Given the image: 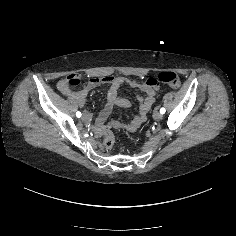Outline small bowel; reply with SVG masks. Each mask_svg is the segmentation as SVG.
Listing matches in <instances>:
<instances>
[{"label":"small bowel","mask_w":236,"mask_h":236,"mask_svg":"<svg viewBox=\"0 0 236 236\" xmlns=\"http://www.w3.org/2000/svg\"><path fill=\"white\" fill-rule=\"evenodd\" d=\"M103 80H106V79H92V80H90V82H89V84H88V86H87V88H86L85 90L78 91V92L72 91V90L67 86L65 80H61V81L58 83V88H59V90H60L63 94H65V95H68V96H80V97H82V98L84 99L85 96L87 95V92H88L91 88H93V87L99 85L101 82H103ZM125 101H126V100H125ZM152 103H153V95L151 96V98L149 99V101L147 102V104H146L144 107L141 108V114H142V115H144V114L149 110V108H150V106L152 105ZM128 105H129V103H128V101H126V106H128ZM140 122H141V118H138V119L136 120V123L138 124V123H140Z\"/></svg>","instance_id":"1"}]
</instances>
